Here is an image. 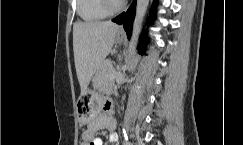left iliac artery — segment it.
<instances>
[{"instance_id": "left-iliac-artery-1", "label": "left iliac artery", "mask_w": 243, "mask_h": 145, "mask_svg": "<svg viewBox=\"0 0 243 145\" xmlns=\"http://www.w3.org/2000/svg\"><path fill=\"white\" fill-rule=\"evenodd\" d=\"M124 145H132L130 142H128V139H127L126 135H125Z\"/></svg>"}]
</instances>
